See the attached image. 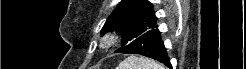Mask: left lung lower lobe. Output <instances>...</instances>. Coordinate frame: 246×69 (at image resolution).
<instances>
[{
    "mask_svg": "<svg viewBox=\"0 0 246 69\" xmlns=\"http://www.w3.org/2000/svg\"><path fill=\"white\" fill-rule=\"evenodd\" d=\"M115 53L140 54L158 60L170 68L172 67L164 43L160 38V32L156 28L147 31L129 44L117 49Z\"/></svg>",
    "mask_w": 246,
    "mask_h": 69,
    "instance_id": "left-lung-lower-lobe-1",
    "label": "left lung lower lobe"
}]
</instances>
